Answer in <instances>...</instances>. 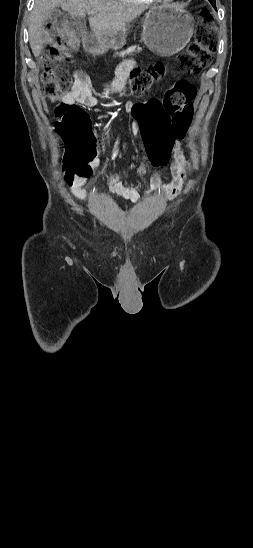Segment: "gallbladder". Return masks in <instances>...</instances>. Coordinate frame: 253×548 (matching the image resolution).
<instances>
[{"instance_id": "obj_1", "label": "gallbladder", "mask_w": 253, "mask_h": 548, "mask_svg": "<svg viewBox=\"0 0 253 548\" xmlns=\"http://www.w3.org/2000/svg\"><path fill=\"white\" fill-rule=\"evenodd\" d=\"M61 15H63V12H61L59 9L55 8L53 11H51L48 18L50 20H54V19L60 17Z\"/></svg>"}]
</instances>
